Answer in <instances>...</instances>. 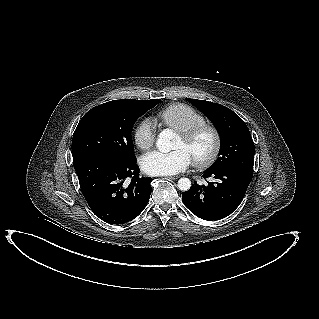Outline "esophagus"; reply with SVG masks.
<instances>
[{
	"instance_id": "1",
	"label": "esophagus",
	"mask_w": 319,
	"mask_h": 319,
	"mask_svg": "<svg viewBox=\"0 0 319 319\" xmlns=\"http://www.w3.org/2000/svg\"><path fill=\"white\" fill-rule=\"evenodd\" d=\"M168 180H176L178 179L179 177L178 176H167L166 177Z\"/></svg>"
}]
</instances>
